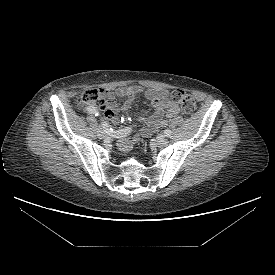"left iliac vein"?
<instances>
[{
  "label": "left iliac vein",
  "instance_id": "obj_1",
  "mask_svg": "<svg viewBox=\"0 0 275 275\" xmlns=\"http://www.w3.org/2000/svg\"><path fill=\"white\" fill-rule=\"evenodd\" d=\"M168 143H169L168 140L163 136L157 139V145L160 147H165Z\"/></svg>",
  "mask_w": 275,
  "mask_h": 275
}]
</instances>
